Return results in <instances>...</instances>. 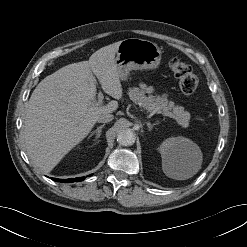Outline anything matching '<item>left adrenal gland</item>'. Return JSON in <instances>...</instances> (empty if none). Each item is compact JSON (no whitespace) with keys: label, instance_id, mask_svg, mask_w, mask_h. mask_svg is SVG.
<instances>
[{"label":"left adrenal gland","instance_id":"1","mask_svg":"<svg viewBox=\"0 0 247 247\" xmlns=\"http://www.w3.org/2000/svg\"><path fill=\"white\" fill-rule=\"evenodd\" d=\"M146 124H147L148 130H149V131H151V130H152V128H153L155 125H157V124H158V122L153 123V124H151L150 122H147Z\"/></svg>","mask_w":247,"mask_h":247}]
</instances>
